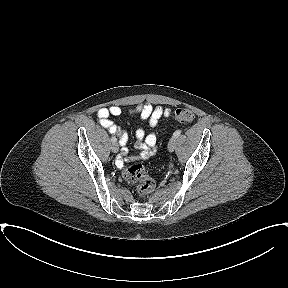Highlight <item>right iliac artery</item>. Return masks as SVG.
<instances>
[{
    "label": "right iliac artery",
    "mask_w": 288,
    "mask_h": 288,
    "mask_svg": "<svg viewBox=\"0 0 288 288\" xmlns=\"http://www.w3.org/2000/svg\"><path fill=\"white\" fill-rule=\"evenodd\" d=\"M111 141H112V142H116V141H117L116 137H114V136L111 137Z\"/></svg>",
    "instance_id": "right-iliac-artery-1"
}]
</instances>
